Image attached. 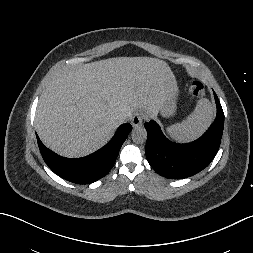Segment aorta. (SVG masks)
<instances>
[{
  "instance_id": "762f6f07",
  "label": "aorta",
  "mask_w": 253,
  "mask_h": 253,
  "mask_svg": "<svg viewBox=\"0 0 253 253\" xmlns=\"http://www.w3.org/2000/svg\"><path fill=\"white\" fill-rule=\"evenodd\" d=\"M133 142L143 144L147 139V131L143 126L135 127L131 132Z\"/></svg>"
}]
</instances>
